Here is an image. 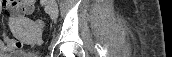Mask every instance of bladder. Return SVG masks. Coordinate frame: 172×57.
<instances>
[{
	"label": "bladder",
	"mask_w": 172,
	"mask_h": 57,
	"mask_svg": "<svg viewBox=\"0 0 172 57\" xmlns=\"http://www.w3.org/2000/svg\"><path fill=\"white\" fill-rule=\"evenodd\" d=\"M2 57H25V56H22L21 54H9V55H3Z\"/></svg>",
	"instance_id": "1"
}]
</instances>
